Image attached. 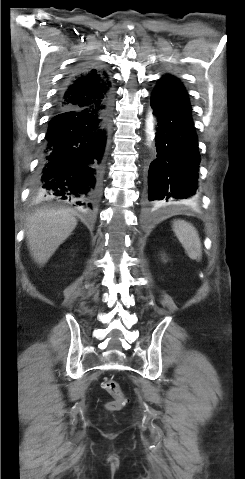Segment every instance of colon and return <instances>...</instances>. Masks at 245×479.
Here are the masks:
<instances>
[{
	"mask_svg": "<svg viewBox=\"0 0 245 479\" xmlns=\"http://www.w3.org/2000/svg\"><path fill=\"white\" fill-rule=\"evenodd\" d=\"M104 389L114 397V400L107 404V408L111 411L120 410L126 404V398L120 388V385L113 379H105L103 382Z\"/></svg>",
	"mask_w": 245,
	"mask_h": 479,
	"instance_id": "5ec220e1",
	"label": "colon"
}]
</instances>
